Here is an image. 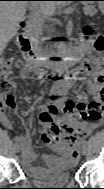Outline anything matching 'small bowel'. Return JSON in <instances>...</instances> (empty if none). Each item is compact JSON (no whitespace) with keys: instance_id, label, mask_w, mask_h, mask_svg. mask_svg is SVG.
I'll return each mask as SVG.
<instances>
[{"instance_id":"c3829d8e","label":"small bowel","mask_w":104,"mask_h":189,"mask_svg":"<svg viewBox=\"0 0 104 189\" xmlns=\"http://www.w3.org/2000/svg\"><path fill=\"white\" fill-rule=\"evenodd\" d=\"M86 72V65L83 64L79 66L73 71L66 81L56 84L52 91L54 96H63L67 93L74 81L86 82V87L76 95L73 101L71 100L77 108L74 111L63 115L56 121L57 125L63 131L64 136L68 138L69 144L73 148L71 150L60 151V155L58 156H46L45 154H42L40 155L41 158H49L56 164L71 163L76 161L79 156L81 137L85 135L91 128H95L99 125L100 119L102 117L101 114H97L95 116L86 114L84 112V107L91 103H101L104 91L99 83L86 78ZM30 73L34 72L28 66L24 67L21 71V78L24 80L28 79ZM53 103L62 105L65 102H63L61 99H58L54 100ZM8 110H11L13 114L20 118L23 116L19 112L15 104V100L12 107H5V109L0 112V120L2 124L6 128L11 129L13 127V120ZM42 126H44L43 123ZM24 132V135L18 136L16 138L21 148L23 164L29 171L37 172L40 168L32 165L36 155L29 144V134L25 124Z\"/></svg>"}]
</instances>
